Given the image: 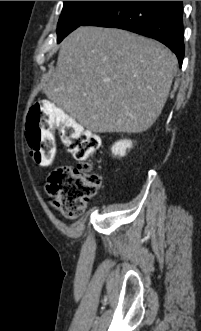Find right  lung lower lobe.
Masks as SVG:
<instances>
[{"instance_id":"1","label":"right lung lower lobe","mask_w":201,"mask_h":331,"mask_svg":"<svg viewBox=\"0 0 201 331\" xmlns=\"http://www.w3.org/2000/svg\"><path fill=\"white\" fill-rule=\"evenodd\" d=\"M182 1H111L88 19L84 26L129 30L154 38L184 57Z\"/></svg>"}]
</instances>
